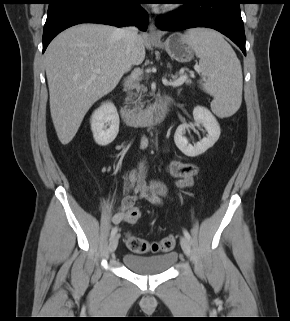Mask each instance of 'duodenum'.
Wrapping results in <instances>:
<instances>
[{
  "mask_svg": "<svg viewBox=\"0 0 290 321\" xmlns=\"http://www.w3.org/2000/svg\"><path fill=\"white\" fill-rule=\"evenodd\" d=\"M170 109V100H165L150 112L136 113L127 109H120L119 113L128 126H147L161 123L168 115Z\"/></svg>",
  "mask_w": 290,
  "mask_h": 321,
  "instance_id": "410a0bca",
  "label": "duodenum"
}]
</instances>
